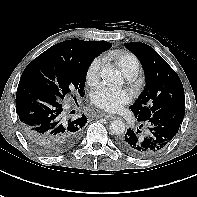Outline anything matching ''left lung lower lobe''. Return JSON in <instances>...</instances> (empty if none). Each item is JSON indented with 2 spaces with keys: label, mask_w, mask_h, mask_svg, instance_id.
<instances>
[{
  "label": "left lung lower lobe",
  "mask_w": 197,
  "mask_h": 197,
  "mask_svg": "<svg viewBox=\"0 0 197 197\" xmlns=\"http://www.w3.org/2000/svg\"><path fill=\"white\" fill-rule=\"evenodd\" d=\"M185 114V104H173L155 111L141 126L146 125L144 135L140 130L128 129L118 140L125 153L136 158H149L165 149L179 130Z\"/></svg>",
  "instance_id": "1"
}]
</instances>
